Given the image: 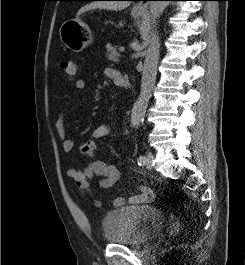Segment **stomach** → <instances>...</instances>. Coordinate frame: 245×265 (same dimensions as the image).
Instances as JSON below:
<instances>
[{
  "instance_id": "1",
  "label": "stomach",
  "mask_w": 245,
  "mask_h": 265,
  "mask_svg": "<svg viewBox=\"0 0 245 265\" xmlns=\"http://www.w3.org/2000/svg\"><path fill=\"white\" fill-rule=\"evenodd\" d=\"M133 16H140L143 11H133ZM62 43L73 52H81L93 42L88 25L80 18L65 21L59 29Z\"/></svg>"
}]
</instances>
